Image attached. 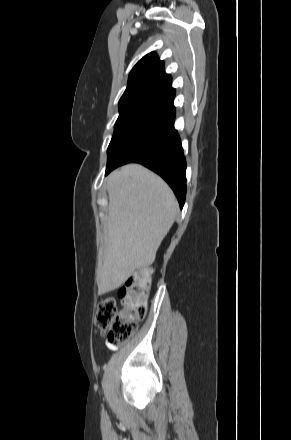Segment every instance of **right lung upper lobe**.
<instances>
[{
	"mask_svg": "<svg viewBox=\"0 0 291 440\" xmlns=\"http://www.w3.org/2000/svg\"><path fill=\"white\" fill-rule=\"evenodd\" d=\"M171 88L172 79L164 71V62L151 52L133 67L119 104L142 99L154 101Z\"/></svg>",
	"mask_w": 291,
	"mask_h": 440,
	"instance_id": "1",
	"label": "right lung upper lobe"
}]
</instances>
